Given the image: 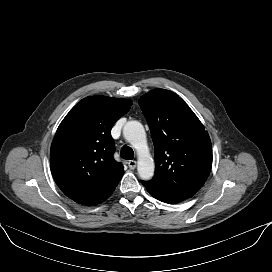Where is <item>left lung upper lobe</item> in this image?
<instances>
[{
	"label": "left lung upper lobe",
	"mask_w": 272,
	"mask_h": 272,
	"mask_svg": "<svg viewBox=\"0 0 272 272\" xmlns=\"http://www.w3.org/2000/svg\"><path fill=\"white\" fill-rule=\"evenodd\" d=\"M155 148V175L143 181L152 192L179 199L195 195L212 167L204 126L177 94L154 89L139 99Z\"/></svg>",
	"instance_id": "1"
}]
</instances>
